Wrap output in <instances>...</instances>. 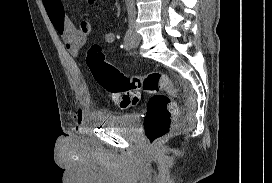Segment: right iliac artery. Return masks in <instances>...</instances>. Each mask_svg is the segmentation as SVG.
<instances>
[{
	"instance_id": "right-iliac-artery-1",
	"label": "right iliac artery",
	"mask_w": 272,
	"mask_h": 183,
	"mask_svg": "<svg viewBox=\"0 0 272 183\" xmlns=\"http://www.w3.org/2000/svg\"><path fill=\"white\" fill-rule=\"evenodd\" d=\"M122 47H124L126 50L132 49L133 45H132V30L131 29L127 30Z\"/></svg>"
}]
</instances>
